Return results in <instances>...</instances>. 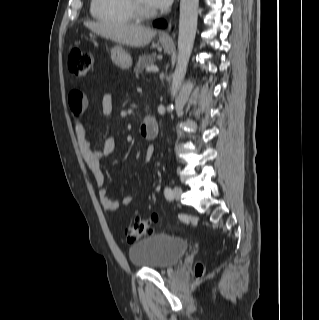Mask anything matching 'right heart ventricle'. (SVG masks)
<instances>
[{"mask_svg":"<svg viewBox=\"0 0 319 320\" xmlns=\"http://www.w3.org/2000/svg\"><path fill=\"white\" fill-rule=\"evenodd\" d=\"M90 12L93 18L105 23L130 24L135 19L127 0H92Z\"/></svg>","mask_w":319,"mask_h":320,"instance_id":"right-heart-ventricle-1","label":"right heart ventricle"}]
</instances>
